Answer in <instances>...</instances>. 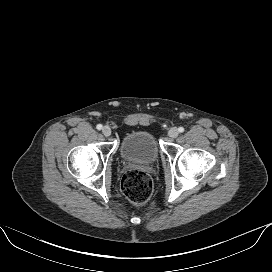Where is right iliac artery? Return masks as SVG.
I'll return each instance as SVG.
<instances>
[{"label":"right iliac artery","instance_id":"1","mask_svg":"<svg viewBox=\"0 0 272 272\" xmlns=\"http://www.w3.org/2000/svg\"><path fill=\"white\" fill-rule=\"evenodd\" d=\"M102 125L101 124H98L97 126H96V128L98 129V130H101L102 129Z\"/></svg>","mask_w":272,"mask_h":272}]
</instances>
